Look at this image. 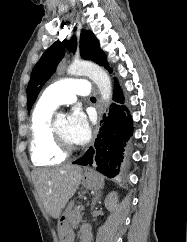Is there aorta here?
<instances>
[{"mask_svg":"<svg viewBox=\"0 0 187 242\" xmlns=\"http://www.w3.org/2000/svg\"><path fill=\"white\" fill-rule=\"evenodd\" d=\"M70 75H86L99 88L102 99L108 101L111 97L112 87L111 80L106 71L100 66L86 61L73 62L67 70Z\"/></svg>","mask_w":187,"mask_h":242,"instance_id":"1","label":"aorta"}]
</instances>
